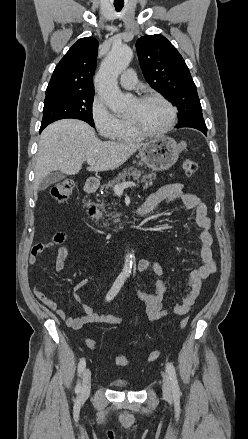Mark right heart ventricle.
<instances>
[{
    "mask_svg": "<svg viewBox=\"0 0 248 439\" xmlns=\"http://www.w3.org/2000/svg\"><path fill=\"white\" fill-rule=\"evenodd\" d=\"M113 139L120 143H134L139 142L143 137L137 134L131 127L130 123L126 118L121 119V125L118 132L115 134Z\"/></svg>",
    "mask_w": 248,
    "mask_h": 439,
    "instance_id": "1",
    "label": "right heart ventricle"
}]
</instances>
